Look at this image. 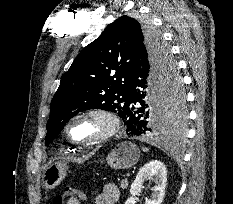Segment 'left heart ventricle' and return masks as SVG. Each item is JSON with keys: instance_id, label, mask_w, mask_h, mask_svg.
Wrapping results in <instances>:
<instances>
[{"instance_id": "left-heart-ventricle-1", "label": "left heart ventricle", "mask_w": 233, "mask_h": 204, "mask_svg": "<svg viewBox=\"0 0 233 204\" xmlns=\"http://www.w3.org/2000/svg\"><path fill=\"white\" fill-rule=\"evenodd\" d=\"M105 127V123L99 119H81L71 126L70 134L75 140H88L102 133Z\"/></svg>"}]
</instances>
